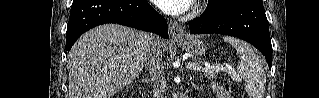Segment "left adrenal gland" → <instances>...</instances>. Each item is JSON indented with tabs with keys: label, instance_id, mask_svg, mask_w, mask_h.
I'll return each mask as SVG.
<instances>
[{
	"label": "left adrenal gland",
	"instance_id": "a2214340",
	"mask_svg": "<svg viewBox=\"0 0 319 98\" xmlns=\"http://www.w3.org/2000/svg\"><path fill=\"white\" fill-rule=\"evenodd\" d=\"M189 80L191 81L192 80V78H189ZM192 84H193V86H195V88H199L196 84H194L193 82H192Z\"/></svg>",
	"mask_w": 319,
	"mask_h": 98
}]
</instances>
